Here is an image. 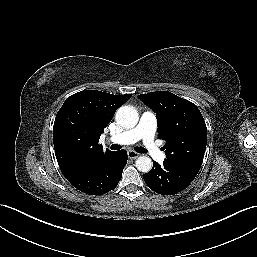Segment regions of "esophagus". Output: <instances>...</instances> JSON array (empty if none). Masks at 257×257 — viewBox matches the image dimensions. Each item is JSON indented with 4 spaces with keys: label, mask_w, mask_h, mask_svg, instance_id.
Here are the masks:
<instances>
[{
    "label": "esophagus",
    "mask_w": 257,
    "mask_h": 257,
    "mask_svg": "<svg viewBox=\"0 0 257 257\" xmlns=\"http://www.w3.org/2000/svg\"><path fill=\"white\" fill-rule=\"evenodd\" d=\"M127 154H128V157H129L130 159H136V158L139 156L138 153H136L135 151H132V150H129V151L127 152Z\"/></svg>",
    "instance_id": "esophagus-1"
}]
</instances>
